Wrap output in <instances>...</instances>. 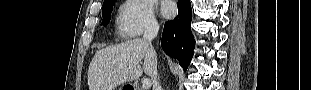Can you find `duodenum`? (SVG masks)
<instances>
[{
    "label": "duodenum",
    "mask_w": 311,
    "mask_h": 90,
    "mask_svg": "<svg viewBox=\"0 0 311 90\" xmlns=\"http://www.w3.org/2000/svg\"><path fill=\"white\" fill-rule=\"evenodd\" d=\"M127 90H134V88L133 87H130L129 89H127Z\"/></svg>",
    "instance_id": "1"
}]
</instances>
